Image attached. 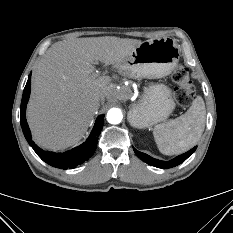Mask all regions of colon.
<instances>
[{
    "label": "colon",
    "instance_id": "1",
    "mask_svg": "<svg viewBox=\"0 0 233 233\" xmlns=\"http://www.w3.org/2000/svg\"><path fill=\"white\" fill-rule=\"evenodd\" d=\"M172 79L176 84L174 90V97L176 101L182 106H189L194 97V88L190 83L188 70L178 65L172 74Z\"/></svg>",
    "mask_w": 233,
    "mask_h": 233
}]
</instances>
